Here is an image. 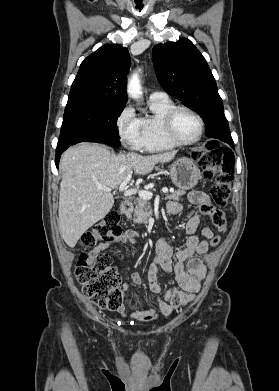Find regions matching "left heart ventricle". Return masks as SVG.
<instances>
[{
  "label": "left heart ventricle",
  "mask_w": 279,
  "mask_h": 391,
  "mask_svg": "<svg viewBox=\"0 0 279 391\" xmlns=\"http://www.w3.org/2000/svg\"><path fill=\"white\" fill-rule=\"evenodd\" d=\"M174 130L176 136L182 141H191L199 133V123L197 119L188 111L181 110L174 120Z\"/></svg>",
  "instance_id": "obj_1"
}]
</instances>
